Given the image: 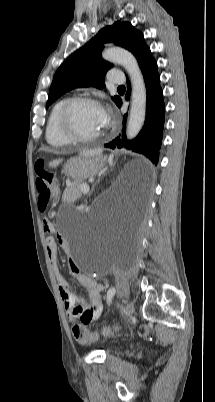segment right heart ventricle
<instances>
[{
    "label": "right heart ventricle",
    "mask_w": 215,
    "mask_h": 402,
    "mask_svg": "<svg viewBox=\"0 0 215 402\" xmlns=\"http://www.w3.org/2000/svg\"><path fill=\"white\" fill-rule=\"evenodd\" d=\"M67 99L68 98H63L58 100L53 105L48 115L45 136L48 144L54 147H64L71 144V141L60 132L58 127L59 110Z\"/></svg>",
    "instance_id": "1"
}]
</instances>
